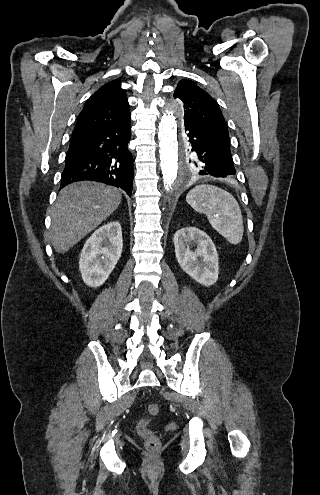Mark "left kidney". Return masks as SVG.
<instances>
[{
    "label": "left kidney",
    "mask_w": 320,
    "mask_h": 495,
    "mask_svg": "<svg viewBox=\"0 0 320 495\" xmlns=\"http://www.w3.org/2000/svg\"><path fill=\"white\" fill-rule=\"evenodd\" d=\"M175 255L181 268L195 281L211 286L218 280L219 262L210 237L195 227L178 230L173 238ZM196 245L195 251L192 247Z\"/></svg>",
    "instance_id": "5707ae66"
}]
</instances>
